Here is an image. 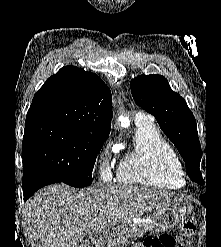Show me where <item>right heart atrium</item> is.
Wrapping results in <instances>:
<instances>
[{"label": "right heart atrium", "instance_id": "obj_1", "mask_svg": "<svg viewBox=\"0 0 221 247\" xmlns=\"http://www.w3.org/2000/svg\"><path fill=\"white\" fill-rule=\"evenodd\" d=\"M99 174L101 178L108 181L111 176L110 165L108 162V148L103 147L99 156Z\"/></svg>", "mask_w": 221, "mask_h": 247}]
</instances>
